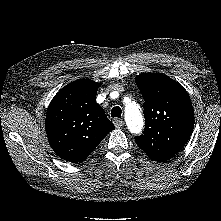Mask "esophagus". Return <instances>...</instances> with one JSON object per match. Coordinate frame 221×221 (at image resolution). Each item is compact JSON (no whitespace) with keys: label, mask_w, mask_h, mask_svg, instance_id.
Masks as SVG:
<instances>
[{"label":"esophagus","mask_w":221,"mask_h":221,"mask_svg":"<svg viewBox=\"0 0 221 221\" xmlns=\"http://www.w3.org/2000/svg\"><path fill=\"white\" fill-rule=\"evenodd\" d=\"M114 125L116 128H121L124 126V121L122 119H116L114 120Z\"/></svg>","instance_id":"obj_1"}]
</instances>
